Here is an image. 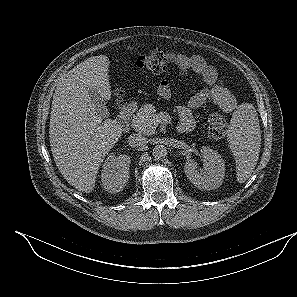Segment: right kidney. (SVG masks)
Listing matches in <instances>:
<instances>
[{
	"label": "right kidney",
	"instance_id": "ca27d5eb",
	"mask_svg": "<svg viewBox=\"0 0 297 297\" xmlns=\"http://www.w3.org/2000/svg\"><path fill=\"white\" fill-rule=\"evenodd\" d=\"M130 163L129 156H115L111 153L103 164L101 174L102 187L110 193H117L123 190L129 179Z\"/></svg>",
	"mask_w": 297,
	"mask_h": 297
}]
</instances>
